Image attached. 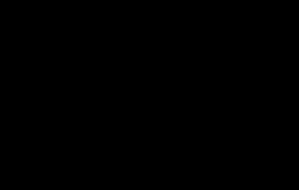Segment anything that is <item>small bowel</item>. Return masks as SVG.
Listing matches in <instances>:
<instances>
[{
    "label": "small bowel",
    "mask_w": 299,
    "mask_h": 190,
    "mask_svg": "<svg viewBox=\"0 0 299 190\" xmlns=\"http://www.w3.org/2000/svg\"><path fill=\"white\" fill-rule=\"evenodd\" d=\"M180 29H182V28H180L179 26H175V30L179 31ZM215 39L218 42L222 41V38H221L220 34H215ZM182 72H183V69L178 70V73H182Z\"/></svg>",
    "instance_id": "c3829d8e"
}]
</instances>
